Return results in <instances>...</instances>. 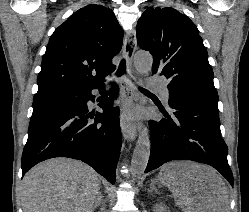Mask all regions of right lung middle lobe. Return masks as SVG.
<instances>
[{
    "instance_id": "obj_1",
    "label": "right lung middle lobe",
    "mask_w": 249,
    "mask_h": 212,
    "mask_svg": "<svg viewBox=\"0 0 249 212\" xmlns=\"http://www.w3.org/2000/svg\"><path fill=\"white\" fill-rule=\"evenodd\" d=\"M60 94H63V93H56V94H52V95H48V96H55V95H60Z\"/></svg>"
}]
</instances>
